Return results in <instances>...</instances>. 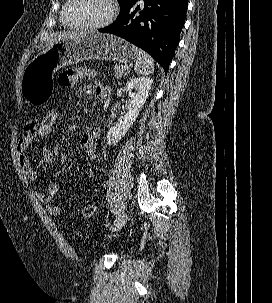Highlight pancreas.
<instances>
[{
  "label": "pancreas",
  "mask_w": 272,
  "mask_h": 303,
  "mask_svg": "<svg viewBox=\"0 0 272 303\" xmlns=\"http://www.w3.org/2000/svg\"><path fill=\"white\" fill-rule=\"evenodd\" d=\"M113 70L116 78L124 77L129 73L128 70H124V66L121 65H115Z\"/></svg>",
  "instance_id": "1"
}]
</instances>
